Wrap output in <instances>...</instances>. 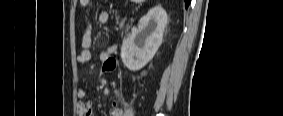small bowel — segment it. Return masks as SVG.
<instances>
[{
  "label": "small bowel",
  "instance_id": "c3829d8e",
  "mask_svg": "<svg viewBox=\"0 0 283 116\" xmlns=\"http://www.w3.org/2000/svg\"><path fill=\"white\" fill-rule=\"evenodd\" d=\"M83 6H88L90 4L89 0H81L80 1ZM97 19L98 22L101 24H105L109 20V15L106 11H98L97 13ZM91 27L88 26L83 33L82 39H81V52L77 56V62L80 64L87 63L91 60L92 53H91ZM117 49L116 45H111L108 48H106L101 54L100 59L104 62L102 65V71L103 72H109L112 71L115 67L114 60L112 58H109V56L114 53ZM79 96L84 97L85 91L81 89L79 91ZM92 105L93 103L91 101H85L81 102L78 106V110L81 115H93L92 112ZM111 116H123L124 111L119 107L117 101H113L111 110H110Z\"/></svg>",
  "mask_w": 283,
  "mask_h": 116
}]
</instances>
